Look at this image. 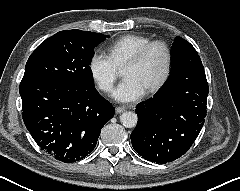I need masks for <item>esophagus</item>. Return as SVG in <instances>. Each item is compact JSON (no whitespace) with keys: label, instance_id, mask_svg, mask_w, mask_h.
Listing matches in <instances>:
<instances>
[{"label":"esophagus","instance_id":"1","mask_svg":"<svg viewBox=\"0 0 240 191\" xmlns=\"http://www.w3.org/2000/svg\"><path fill=\"white\" fill-rule=\"evenodd\" d=\"M126 109H127L126 107L117 106L115 108V111H116V113L120 114V113H123L124 111H126Z\"/></svg>","mask_w":240,"mask_h":191}]
</instances>
